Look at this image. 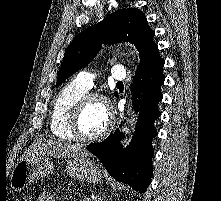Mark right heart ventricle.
<instances>
[{"instance_id":"obj_1","label":"right heart ventricle","mask_w":221,"mask_h":201,"mask_svg":"<svg viewBox=\"0 0 221 201\" xmlns=\"http://www.w3.org/2000/svg\"><path fill=\"white\" fill-rule=\"evenodd\" d=\"M85 93L86 89L72 82L56 96L50 116V129L56 137L63 140L75 139L69 128L70 116L74 105Z\"/></svg>"}]
</instances>
